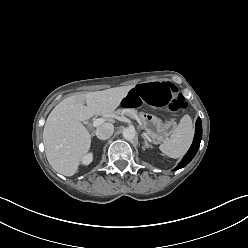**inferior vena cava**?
I'll use <instances>...</instances> for the list:
<instances>
[{
    "instance_id": "1",
    "label": "inferior vena cava",
    "mask_w": 248,
    "mask_h": 248,
    "mask_svg": "<svg viewBox=\"0 0 248 248\" xmlns=\"http://www.w3.org/2000/svg\"><path fill=\"white\" fill-rule=\"evenodd\" d=\"M114 126L111 123H105L96 129V136L100 140H106L112 136Z\"/></svg>"
}]
</instances>
